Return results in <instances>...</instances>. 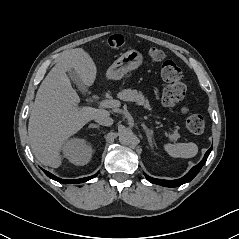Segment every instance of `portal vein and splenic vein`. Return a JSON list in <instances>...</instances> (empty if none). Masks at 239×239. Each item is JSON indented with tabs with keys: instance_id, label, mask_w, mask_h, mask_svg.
<instances>
[{
	"instance_id": "1",
	"label": "portal vein and splenic vein",
	"mask_w": 239,
	"mask_h": 239,
	"mask_svg": "<svg viewBox=\"0 0 239 239\" xmlns=\"http://www.w3.org/2000/svg\"><path fill=\"white\" fill-rule=\"evenodd\" d=\"M99 104L101 107H104V108H115L120 106V102L118 100H113V99L100 101ZM168 137L170 139L173 138L172 135H168Z\"/></svg>"
}]
</instances>
